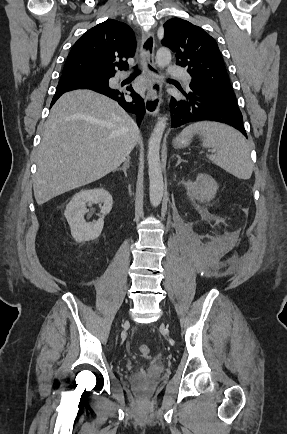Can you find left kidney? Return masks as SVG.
<instances>
[{
  "mask_svg": "<svg viewBox=\"0 0 287 434\" xmlns=\"http://www.w3.org/2000/svg\"><path fill=\"white\" fill-rule=\"evenodd\" d=\"M186 186L188 195L200 201L214 198L218 190L216 181L207 174H199L195 182H188Z\"/></svg>",
  "mask_w": 287,
  "mask_h": 434,
  "instance_id": "obj_1",
  "label": "left kidney"
}]
</instances>
